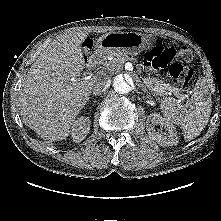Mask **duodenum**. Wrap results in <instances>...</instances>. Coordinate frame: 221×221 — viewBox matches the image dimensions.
I'll return each mask as SVG.
<instances>
[{"label":"duodenum","instance_id":"obj_1","mask_svg":"<svg viewBox=\"0 0 221 221\" xmlns=\"http://www.w3.org/2000/svg\"><path fill=\"white\" fill-rule=\"evenodd\" d=\"M101 59V54L99 52L92 53L87 60V66L93 68Z\"/></svg>","mask_w":221,"mask_h":221}]
</instances>
